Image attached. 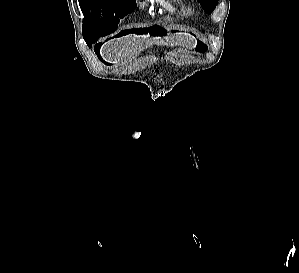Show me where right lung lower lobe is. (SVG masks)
I'll return each mask as SVG.
<instances>
[{
  "instance_id": "1",
  "label": "right lung lower lobe",
  "mask_w": 299,
  "mask_h": 273,
  "mask_svg": "<svg viewBox=\"0 0 299 273\" xmlns=\"http://www.w3.org/2000/svg\"><path fill=\"white\" fill-rule=\"evenodd\" d=\"M100 38V35H94L88 38H84L88 47L91 48L92 44H94L98 39ZM95 46H97V44H95Z\"/></svg>"
}]
</instances>
